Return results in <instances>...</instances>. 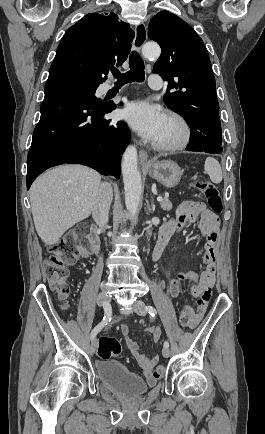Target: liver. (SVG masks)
Segmentation results:
<instances>
[{
  "instance_id": "6515ba94",
  "label": "liver",
  "mask_w": 265,
  "mask_h": 434,
  "mask_svg": "<svg viewBox=\"0 0 265 434\" xmlns=\"http://www.w3.org/2000/svg\"><path fill=\"white\" fill-rule=\"evenodd\" d=\"M100 184V174L85 166H59L33 182L32 216L46 246L57 244L66 230L89 218Z\"/></svg>"
}]
</instances>
